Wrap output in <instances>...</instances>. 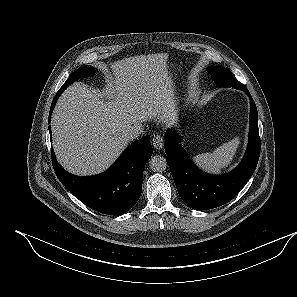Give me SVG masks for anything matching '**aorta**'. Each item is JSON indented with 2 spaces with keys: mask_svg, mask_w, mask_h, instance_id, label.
Returning <instances> with one entry per match:
<instances>
[{
  "mask_svg": "<svg viewBox=\"0 0 297 297\" xmlns=\"http://www.w3.org/2000/svg\"><path fill=\"white\" fill-rule=\"evenodd\" d=\"M149 166L154 172H162L167 168V162L163 156L155 155L150 158Z\"/></svg>",
  "mask_w": 297,
  "mask_h": 297,
  "instance_id": "762f6f07",
  "label": "aorta"
}]
</instances>
